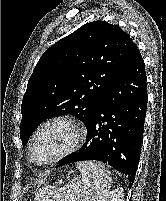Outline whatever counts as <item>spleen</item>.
<instances>
[{
	"label": "spleen",
	"instance_id": "1",
	"mask_svg": "<svg viewBox=\"0 0 166 201\" xmlns=\"http://www.w3.org/2000/svg\"><path fill=\"white\" fill-rule=\"evenodd\" d=\"M81 176L70 181L64 188L46 186L39 191V201H101L108 193L112 178L110 172L100 163L78 162Z\"/></svg>",
	"mask_w": 166,
	"mask_h": 201
}]
</instances>
